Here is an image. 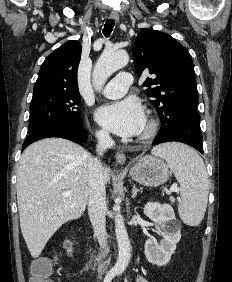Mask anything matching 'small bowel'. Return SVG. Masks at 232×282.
Masks as SVG:
<instances>
[{
	"mask_svg": "<svg viewBox=\"0 0 232 282\" xmlns=\"http://www.w3.org/2000/svg\"><path fill=\"white\" fill-rule=\"evenodd\" d=\"M136 282H149L145 277H143L142 275H138Z\"/></svg>",
	"mask_w": 232,
	"mask_h": 282,
	"instance_id": "small-bowel-1",
	"label": "small bowel"
}]
</instances>
